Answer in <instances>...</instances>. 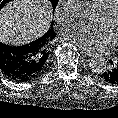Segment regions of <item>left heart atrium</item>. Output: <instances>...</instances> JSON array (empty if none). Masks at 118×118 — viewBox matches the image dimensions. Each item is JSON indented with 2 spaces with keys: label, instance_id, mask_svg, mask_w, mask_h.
Segmentation results:
<instances>
[{
  "label": "left heart atrium",
  "instance_id": "left-heart-atrium-1",
  "mask_svg": "<svg viewBox=\"0 0 118 118\" xmlns=\"http://www.w3.org/2000/svg\"><path fill=\"white\" fill-rule=\"evenodd\" d=\"M63 35L68 41L89 51H103L113 44L110 33L102 24L78 22L66 27Z\"/></svg>",
  "mask_w": 118,
  "mask_h": 118
}]
</instances>
